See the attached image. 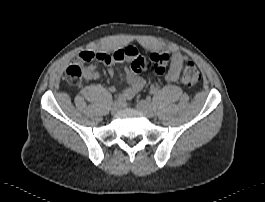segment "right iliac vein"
I'll list each match as a JSON object with an SVG mask.
<instances>
[{
    "label": "right iliac vein",
    "instance_id": "1",
    "mask_svg": "<svg viewBox=\"0 0 265 202\" xmlns=\"http://www.w3.org/2000/svg\"><path fill=\"white\" fill-rule=\"evenodd\" d=\"M120 109V104L118 102H114L111 106V113L116 114Z\"/></svg>",
    "mask_w": 265,
    "mask_h": 202
}]
</instances>
